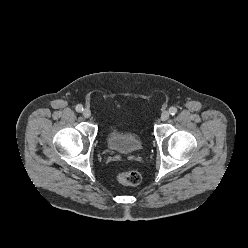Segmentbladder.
I'll return each mask as SVG.
<instances>
[{
	"label": "bladder",
	"mask_w": 248,
	"mask_h": 248,
	"mask_svg": "<svg viewBox=\"0 0 248 248\" xmlns=\"http://www.w3.org/2000/svg\"><path fill=\"white\" fill-rule=\"evenodd\" d=\"M105 141L111 150L124 154L136 153L143 147V141L137 134L115 125L108 127Z\"/></svg>",
	"instance_id": "obj_1"
}]
</instances>
